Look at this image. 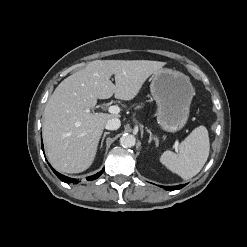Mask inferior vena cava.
Masks as SVG:
<instances>
[{
  "label": "inferior vena cava",
  "instance_id": "obj_1",
  "mask_svg": "<svg viewBox=\"0 0 247 247\" xmlns=\"http://www.w3.org/2000/svg\"><path fill=\"white\" fill-rule=\"evenodd\" d=\"M120 125H121V122L118 118H112L107 121L105 128L108 130H117L119 129Z\"/></svg>",
  "mask_w": 247,
  "mask_h": 247
}]
</instances>
